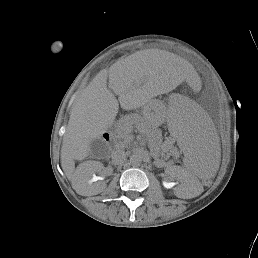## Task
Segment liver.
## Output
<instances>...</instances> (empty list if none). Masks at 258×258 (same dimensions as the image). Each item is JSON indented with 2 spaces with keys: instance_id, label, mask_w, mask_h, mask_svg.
I'll return each instance as SVG.
<instances>
[{
  "instance_id": "obj_1",
  "label": "liver",
  "mask_w": 258,
  "mask_h": 258,
  "mask_svg": "<svg viewBox=\"0 0 258 258\" xmlns=\"http://www.w3.org/2000/svg\"><path fill=\"white\" fill-rule=\"evenodd\" d=\"M140 56L133 54L110 68L109 86L119 96L118 100L107 88V75L101 71L84 89L72 109L63 137L61 167L79 195H91L92 186L87 180L103 166L96 161H87L75 168V160L82 161L89 156L90 141L106 132L109 121L116 116L118 101L126 106L132 80L136 76L159 75V70L140 60Z\"/></svg>"
}]
</instances>
